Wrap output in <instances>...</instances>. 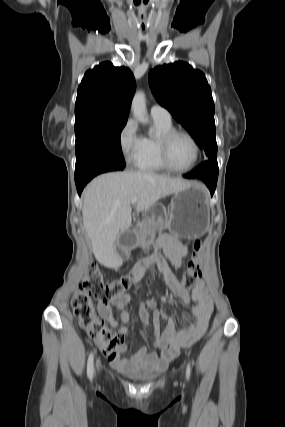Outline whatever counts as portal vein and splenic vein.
<instances>
[{"mask_svg": "<svg viewBox=\"0 0 285 427\" xmlns=\"http://www.w3.org/2000/svg\"><path fill=\"white\" fill-rule=\"evenodd\" d=\"M138 201V197H133L131 200V204H135Z\"/></svg>", "mask_w": 285, "mask_h": 427, "instance_id": "18ae733b", "label": "portal vein and splenic vein"}]
</instances>
